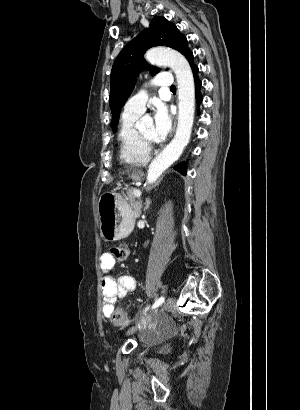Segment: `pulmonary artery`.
I'll return each instance as SVG.
<instances>
[{"label": "pulmonary artery", "instance_id": "pulmonary-artery-1", "mask_svg": "<svg viewBox=\"0 0 300 410\" xmlns=\"http://www.w3.org/2000/svg\"><path fill=\"white\" fill-rule=\"evenodd\" d=\"M173 79L169 73H159L155 77L153 83L158 87H170L172 85ZM148 99V94L146 91H141L137 95L131 97L125 104V111L142 113L145 108L146 101Z\"/></svg>", "mask_w": 300, "mask_h": 410}]
</instances>
